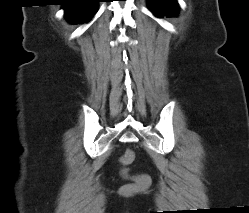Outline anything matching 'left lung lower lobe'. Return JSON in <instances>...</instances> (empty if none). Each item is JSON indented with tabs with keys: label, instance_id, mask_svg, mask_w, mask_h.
Listing matches in <instances>:
<instances>
[{
	"label": "left lung lower lobe",
	"instance_id": "0a47b994",
	"mask_svg": "<svg viewBox=\"0 0 249 213\" xmlns=\"http://www.w3.org/2000/svg\"><path fill=\"white\" fill-rule=\"evenodd\" d=\"M150 10L156 16L174 14L177 8L176 0H148Z\"/></svg>",
	"mask_w": 249,
	"mask_h": 213
}]
</instances>
